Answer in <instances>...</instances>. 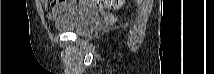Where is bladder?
<instances>
[{
  "label": "bladder",
  "mask_w": 214,
  "mask_h": 74,
  "mask_svg": "<svg viewBox=\"0 0 214 74\" xmlns=\"http://www.w3.org/2000/svg\"><path fill=\"white\" fill-rule=\"evenodd\" d=\"M100 18L101 14L98 11L87 6H76L60 16L56 21V27L77 35H86L97 26Z\"/></svg>",
  "instance_id": "1"
}]
</instances>
